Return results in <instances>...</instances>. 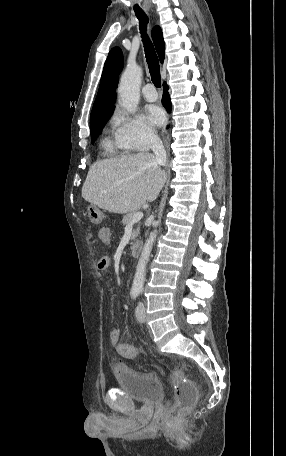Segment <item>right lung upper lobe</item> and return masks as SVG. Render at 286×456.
Returning <instances> with one entry per match:
<instances>
[{
  "instance_id": "cb5924a9",
  "label": "right lung upper lobe",
  "mask_w": 286,
  "mask_h": 456,
  "mask_svg": "<svg viewBox=\"0 0 286 456\" xmlns=\"http://www.w3.org/2000/svg\"><path fill=\"white\" fill-rule=\"evenodd\" d=\"M152 39L160 61L164 60V40L161 28L155 26L152 30ZM123 67V54L120 48L114 47L108 54L100 81L97 97L90 115V122L113 111L115 106V87L118 75Z\"/></svg>"
}]
</instances>
